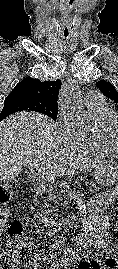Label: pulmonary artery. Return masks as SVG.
I'll return each mask as SVG.
<instances>
[{"instance_id":"obj_1","label":"pulmonary artery","mask_w":118,"mask_h":269,"mask_svg":"<svg viewBox=\"0 0 118 269\" xmlns=\"http://www.w3.org/2000/svg\"><path fill=\"white\" fill-rule=\"evenodd\" d=\"M84 102L90 111L104 108L107 105L105 97L95 90L87 92Z\"/></svg>"}]
</instances>
